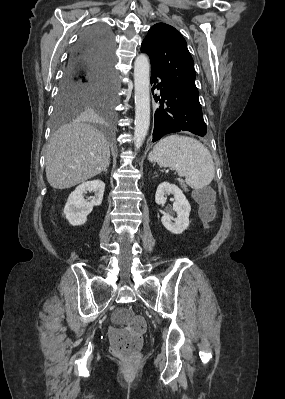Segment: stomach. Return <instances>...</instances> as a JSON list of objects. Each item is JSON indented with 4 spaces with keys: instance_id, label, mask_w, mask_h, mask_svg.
I'll use <instances>...</instances> for the list:
<instances>
[{
    "instance_id": "1",
    "label": "stomach",
    "mask_w": 285,
    "mask_h": 399,
    "mask_svg": "<svg viewBox=\"0 0 285 399\" xmlns=\"http://www.w3.org/2000/svg\"><path fill=\"white\" fill-rule=\"evenodd\" d=\"M149 160H150V161L155 160V159H154V156H153V153H151V154L149 155Z\"/></svg>"
}]
</instances>
